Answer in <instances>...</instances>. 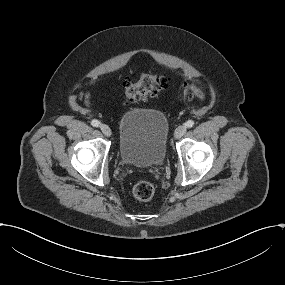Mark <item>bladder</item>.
Instances as JSON below:
<instances>
[{
    "label": "bladder",
    "mask_w": 285,
    "mask_h": 285,
    "mask_svg": "<svg viewBox=\"0 0 285 285\" xmlns=\"http://www.w3.org/2000/svg\"><path fill=\"white\" fill-rule=\"evenodd\" d=\"M168 120L156 109H132L118 124L119 159L134 167H155L166 157Z\"/></svg>",
    "instance_id": "1"
}]
</instances>
